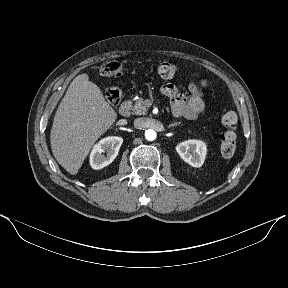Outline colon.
<instances>
[{
	"label": "colon",
	"instance_id": "obj_1",
	"mask_svg": "<svg viewBox=\"0 0 288 288\" xmlns=\"http://www.w3.org/2000/svg\"><path fill=\"white\" fill-rule=\"evenodd\" d=\"M122 73V66L119 62L110 61L101 67V74L105 77H118ZM157 73L163 79H172L175 76L176 68L173 64L162 62L157 66ZM205 82H201L204 86ZM122 90L118 86L106 90V98L111 104H117L121 98ZM222 124L226 131L222 135L220 151L223 157L230 158L236 151L235 129L238 125V116L234 110H228L222 117Z\"/></svg>",
	"mask_w": 288,
	"mask_h": 288
}]
</instances>
